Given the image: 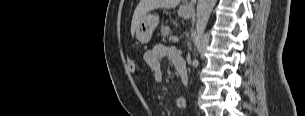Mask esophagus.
Masks as SVG:
<instances>
[{
    "instance_id": "1",
    "label": "esophagus",
    "mask_w": 305,
    "mask_h": 116,
    "mask_svg": "<svg viewBox=\"0 0 305 116\" xmlns=\"http://www.w3.org/2000/svg\"><path fill=\"white\" fill-rule=\"evenodd\" d=\"M194 4H195V1H191V2H189L188 4H186V7H187L188 9H193V8H194Z\"/></svg>"
}]
</instances>
